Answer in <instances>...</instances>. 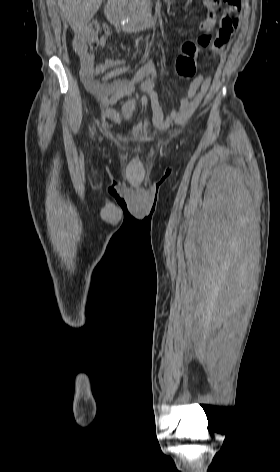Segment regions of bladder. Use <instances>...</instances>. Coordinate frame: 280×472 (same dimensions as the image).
<instances>
[{"instance_id":"1","label":"bladder","mask_w":280,"mask_h":472,"mask_svg":"<svg viewBox=\"0 0 280 472\" xmlns=\"http://www.w3.org/2000/svg\"><path fill=\"white\" fill-rule=\"evenodd\" d=\"M136 100L134 98H129L121 108V114L124 120H129L135 111Z\"/></svg>"}]
</instances>
